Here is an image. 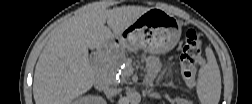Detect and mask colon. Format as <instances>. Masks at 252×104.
<instances>
[{
  "label": "colon",
  "mask_w": 252,
  "mask_h": 104,
  "mask_svg": "<svg viewBox=\"0 0 252 104\" xmlns=\"http://www.w3.org/2000/svg\"><path fill=\"white\" fill-rule=\"evenodd\" d=\"M180 61L184 79L189 85H194L196 65L201 62V39L192 28L185 32Z\"/></svg>",
  "instance_id": "obj_1"
}]
</instances>
